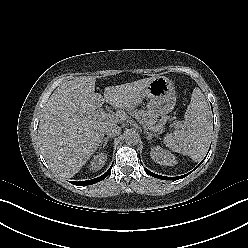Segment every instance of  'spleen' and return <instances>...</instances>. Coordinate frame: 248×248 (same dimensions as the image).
Wrapping results in <instances>:
<instances>
[{
  "label": "spleen",
  "mask_w": 248,
  "mask_h": 248,
  "mask_svg": "<svg viewBox=\"0 0 248 248\" xmlns=\"http://www.w3.org/2000/svg\"><path fill=\"white\" fill-rule=\"evenodd\" d=\"M212 123L205 96L199 88L192 92L191 102L185 113L181 130L164 137L166 147L200 161L206 154L211 139Z\"/></svg>",
  "instance_id": "1"
}]
</instances>
